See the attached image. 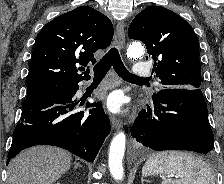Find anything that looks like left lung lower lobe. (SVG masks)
<instances>
[{
	"instance_id": "1",
	"label": "left lung lower lobe",
	"mask_w": 224,
	"mask_h": 184,
	"mask_svg": "<svg viewBox=\"0 0 224 184\" xmlns=\"http://www.w3.org/2000/svg\"><path fill=\"white\" fill-rule=\"evenodd\" d=\"M154 111L142 110L131 135L156 151L208 153L214 148L207 106L200 89L167 88L153 95Z\"/></svg>"
}]
</instances>
